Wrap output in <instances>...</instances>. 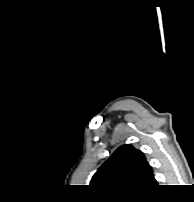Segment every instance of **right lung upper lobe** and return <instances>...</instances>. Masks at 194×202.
Wrapping results in <instances>:
<instances>
[{"label": "right lung upper lobe", "mask_w": 194, "mask_h": 202, "mask_svg": "<svg viewBox=\"0 0 194 202\" xmlns=\"http://www.w3.org/2000/svg\"><path fill=\"white\" fill-rule=\"evenodd\" d=\"M90 185L110 194H141L157 187L143 153L123 145L94 174Z\"/></svg>", "instance_id": "cb5924a9"}]
</instances>
